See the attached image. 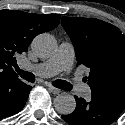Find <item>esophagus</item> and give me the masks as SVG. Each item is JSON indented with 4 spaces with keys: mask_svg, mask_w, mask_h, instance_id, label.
<instances>
[{
    "mask_svg": "<svg viewBox=\"0 0 125 125\" xmlns=\"http://www.w3.org/2000/svg\"><path fill=\"white\" fill-rule=\"evenodd\" d=\"M48 88H49V90H50L53 94H55V95L61 93V90H60V89L55 88V87H53V86H51V85H49Z\"/></svg>",
    "mask_w": 125,
    "mask_h": 125,
    "instance_id": "1",
    "label": "esophagus"
}]
</instances>
